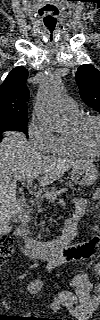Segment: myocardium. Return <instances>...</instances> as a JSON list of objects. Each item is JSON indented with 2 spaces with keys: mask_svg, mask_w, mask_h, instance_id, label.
<instances>
[{
  "mask_svg": "<svg viewBox=\"0 0 100 320\" xmlns=\"http://www.w3.org/2000/svg\"><path fill=\"white\" fill-rule=\"evenodd\" d=\"M88 122H96L99 127V133H100V118L93 115H86L81 116L73 125L71 128V131L68 133L71 141L77 145L79 148H81L83 151L90 155H99L100 154V145L97 149H93L88 144L84 142L82 139V131L85 127V125Z\"/></svg>",
  "mask_w": 100,
  "mask_h": 320,
  "instance_id": "obj_1",
  "label": "myocardium"
}]
</instances>
